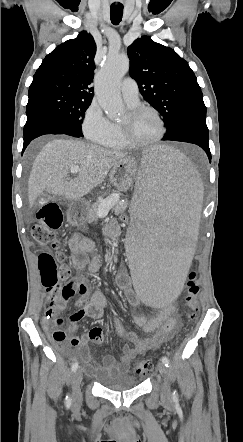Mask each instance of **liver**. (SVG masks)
Instances as JSON below:
<instances>
[{
	"label": "liver",
	"mask_w": 243,
	"mask_h": 442,
	"mask_svg": "<svg viewBox=\"0 0 243 442\" xmlns=\"http://www.w3.org/2000/svg\"><path fill=\"white\" fill-rule=\"evenodd\" d=\"M127 157L126 152L72 139H53L36 156L28 180V199L33 206L44 191L79 200L100 185L109 170ZM79 175L69 180L71 167Z\"/></svg>",
	"instance_id": "obj_1"
}]
</instances>
